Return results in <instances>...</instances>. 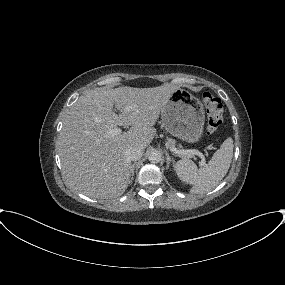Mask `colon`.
<instances>
[{"label":"colon","instance_id":"1","mask_svg":"<svg viewBox=\"0 0 285 285\" xmlns=\"http://www.w3.org/2000/svg\"><path fill=\"white\" fill-rule=\"evenodd\" d=\"M202 101L206 110V131L207 134H213L222 125L223 105L218 97L209 92L203 94Z\"/></svg>","mask_w":285,"mask_h":285}]
</instances>
